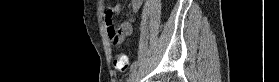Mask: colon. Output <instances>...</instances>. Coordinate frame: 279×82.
<instances>
[{
  "label": "colon",
  "mask_w": 279,
  "mask_h": 82,
  "mask_svg": "<svg viewBox=\"0 0 279 82\" xmlns=\"http://www.w3.org/2000/svg\"><path fill=\"white\" fill-rule=\"evenodd\" d=\"M114 66L120 72H126L129 66L128 56L124 53H119L114 58Z\"/></svg>",
  "instance_id": "5ec220e1"
}]
</instances>
